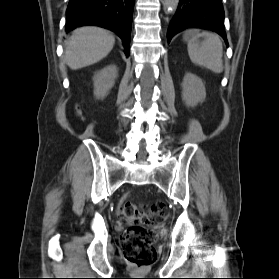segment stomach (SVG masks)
<instances>
[{
    "label": "stomach",
    "instance_id": "obj_1",
    "mask_svg": "<svg viewBox=\"0 0 279 279\" xmlns=\"http://www.w3.org/2000/svg\"><path fill=\"white\" fill-rule=\"evenodd\" d=\"M194 35V33L192 32H188L184 35V39L185 40H190L192 38V36Z\"/></svg>",
    "mask_w": 279,
    "mask_h": 279
}]
</instances>
